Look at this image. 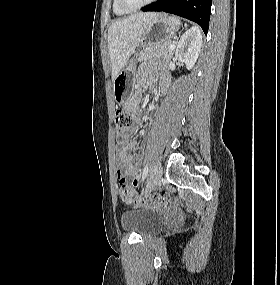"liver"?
<instances>
[{
    "mask_svg": "<svg viewBox=\"0 0 280 285\" xmlns=\"http://www.w3.org/2000/svg\"><path fill=\"white\" fill-rule=\"evenodd\" d=\"M157 15L137 13L112 23L108 30V49L113 81L135 52L148 23Z\"/></svg>",
    "mask_w": 280,
    "mask_h": 285,
    "instance_id": "6515ba94",
    "label": "liver"
}]
</instances>
